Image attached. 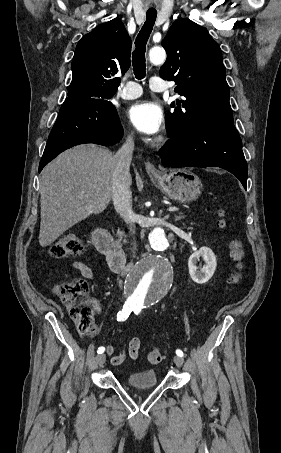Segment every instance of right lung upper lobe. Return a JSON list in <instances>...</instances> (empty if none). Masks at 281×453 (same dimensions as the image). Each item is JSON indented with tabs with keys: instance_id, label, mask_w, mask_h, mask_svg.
<instances>
[{
	"instance_id": "cb5924a9",
	"label": "right lung upper lobe",
	"mask_w": 281,
	"mask_h": 453,
	"mask_svg": "<svg viewBox=\"0 0 281 453\" xmlns=\"http://www.w3.org/2000/svg\"><path fill=\"white\" fill-rule=\"evenodd\" d=\"M131 39L122 21L100 24L79 41L65 101H107L120 84L114 77L130 67Z\"/></svg>"
}]
</instances>
